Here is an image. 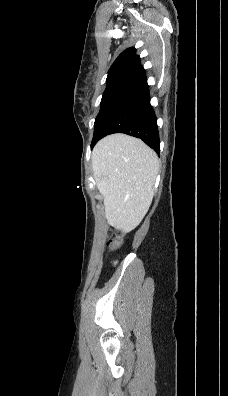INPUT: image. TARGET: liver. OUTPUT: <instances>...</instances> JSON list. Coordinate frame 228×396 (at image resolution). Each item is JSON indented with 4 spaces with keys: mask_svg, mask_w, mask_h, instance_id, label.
Returning a JSON list of instances; mask_svg holds the SVG:
<instances>
[{
    "mask_svg": "<svg viewBox=\"0 0 228 396\" xmlns=\"http://www.w3.org/2000/svg\"><path fill=\"white\" fill-rule=\"evenodd\" d=\"M92 170L109 224L124 232L136 228L153 199L157 154L138 138L113 134L94 147Z\"/></svg>",
    "mask_w": 228,
    "mask_h": 396,
    "instance_id": "1",
    "label": "liver"
}]
</instances>
